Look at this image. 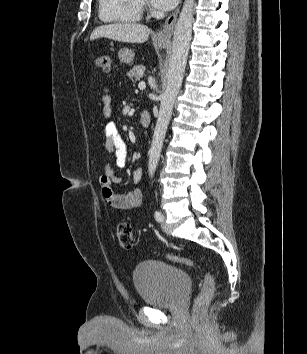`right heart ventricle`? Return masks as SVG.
<instances>
[{
	"instance_id": "right-heart-ventricle-1",
	"label": "right heart ventricle",
	"mask_w": 307,
	"mask_h": 354,
	"mask_svg": "<svg viewBox=\"0 0 307 354\" xmlns=\"http://www.w3.org/2000/svg\"><path fill=\"white\" fill-rule=\"evenodd\" d=\"M99 17L104 22H137L141 18L138 0H98Z\"/></svg>"
}]
</instances>
